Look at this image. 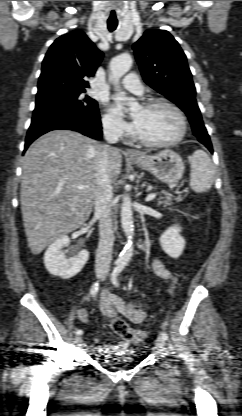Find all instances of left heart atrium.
<instances>
[{"label": "left heart atrium", "mask_w": 242, "mask_h": 416, "mask_svg": "<svg viewBox=\"0 0 242 416\" xmlns=\"http://www.w3.org/2000/svg\"><path fill=\"white\" fill-rule=\"evenodd\" d=\"M115 111H116L117 113H121V109H120V107H115Z\"/></svg>", "instance_id": "left-heart-atrium-1"}]
</instances>
